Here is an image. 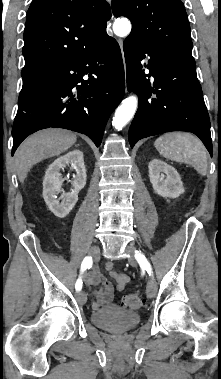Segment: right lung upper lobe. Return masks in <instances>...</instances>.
<instances>
[{
    "label": "right lung upper lobe",
    "mask_w": 221,
    "mask_h": 379,
    "mask_svg": "<svg viewBox=\"0 0 221 379\" xmlns=\"http://www.w3.org/2000/svg\"><path fill=\"white\" fill-rule=\"evenodd\" d=\"M111 9L105 0H33L24 30V75L85 52L105 36Z\"/></svg>",
    "instance_id": "1"
}]
</instances>
